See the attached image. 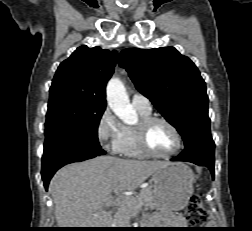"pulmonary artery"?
I'll return each mask as SVG.
<instances>
[{"label":"pulmonary artery","mask_w":252,"mask_h":231,"mask_svg":"<svg viewBox=\"0 0 252 231\" xmlns=\"http://www.w3.org/2000/svg\"><path fill=\"white\" fill-rule=\"evenodd\" d=\"M132 104L135 108L141 109L144 111H151L152 109L149 99L139 93L133 94Z\"/></svg>","instance_id":"e3ab8cb5"}]
</instances>
